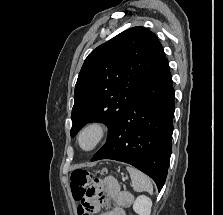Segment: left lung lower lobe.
<instances>
[{"mask_svg": "<svg viewBox=\"0 0 223 215\" xmlns=\"http://www.w3.org/2000/svg\"><path fill=\"white\" fill-rule=\"evenodd\" d=\"M174 109V89L166 59L91 161L129 163L150 176L160 191L169 167Z\"/></svg>", "mask_w": 223, "mask_h": 215, "instance_id": "left-lung-lower-lobe-1", "label": "left lung lower lobe"}]
</instances>
